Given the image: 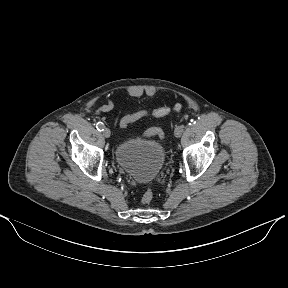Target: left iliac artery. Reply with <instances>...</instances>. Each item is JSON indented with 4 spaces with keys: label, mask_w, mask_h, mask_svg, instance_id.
Returning a JSON list of instances; mask_svg holds the SVG:
<instances>
[{
    "label": "left iliac artery",
    "mask_w": 288,
    "mask_h": 288,
    "mask_svg": "<svg viewBox=\"0 0 288 288\" xmlns=\"http://www.w3.org/2000/svg\"><path fill=\"white\" fill-rule=\"evenodd\" d=\"M179 129L184 130L185 129L184 124H179Z\"/></svg>",
    "instance_id": "44dca946"
}]
</instances>
